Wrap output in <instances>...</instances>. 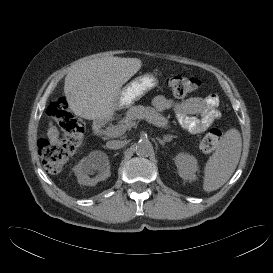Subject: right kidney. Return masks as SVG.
Returning a JSON list of instances; mask_svg holds the SVG:
<instances>
[{"mask_svg":"<svg viewBox=\"0 0 273 273\" xmlns=\"http://www.w3.org/2000/svg\"><path fill=\"white\" fill-rule=\"evenodd\" d=\"M108 157L103 154L92 153L88 157L82 159L76 168V176L78 182L83 185L93 186L99 180H104L110 175ZM98 171L96 177L91 178Z\"/></svg>","mask_w":273,"mask_h":273,"instance_id":"obj_1","label":"right kidney"}]
</instances>
